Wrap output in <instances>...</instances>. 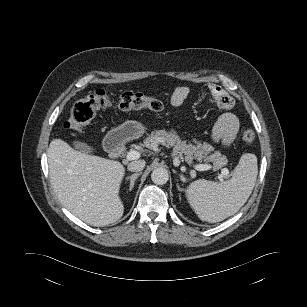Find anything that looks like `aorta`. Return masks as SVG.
Wrapping results in <instances>:
<instances>
[{
  "mask_svg": "<svg viewBox=\"0 0 307 307\" xmlns=\"http://www.w3.org/2000/svg\"><path fill=\"white\" fill-rule=\"evenodd\" d=\"M151 179L156 185H164L169 179V173L165 168L158 167L152 171Z\"/></svg>",
  "mask_w": 307,
  "mask_h": 307,
  "instance_id": "obj_1",
  "label": "aorta"
}]
</instances>
